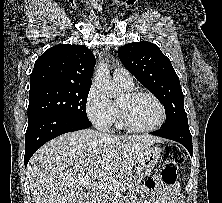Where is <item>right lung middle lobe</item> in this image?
<instances>
[{
    "instance_id": "dd1d6c3e",
    "label": "right lung middle lobe",
    "mask_w": 222,
    "mask_h": 203,
    "mask_svg": "<svg viewBox=\"0 0 222 203\" xmlns=\"http://www.w3.org/2000/svg\"><path fill=\"white\" fill-rule=\"evenodd\" d=\"M90 87L60 85L30 90L28 120L48 114L88 119L86 101Z\"/></svg>"
}]
</instances>
